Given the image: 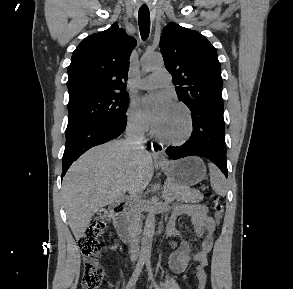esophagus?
<instances>
[{
    "instance_id": "34e87169",
    "label": "esophagus",
    "mask_w": 293,
    "mask_h": 289,
    "mask_svg": "<svg viewBox=\"0 0 293 289\" xmlns=\"http://www.w3.org/2000/svg\"><path fill=\"white\" fill-rule=\"evenodd\" d=\"M152 155H153V158L157 161H161V162L166 161L163 155V146L159 143H155L152 145Z\"/></svg>"
}]
</instances>
